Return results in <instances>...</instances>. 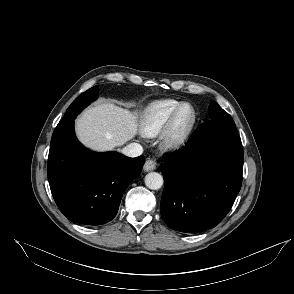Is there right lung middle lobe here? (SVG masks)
<instances>
[{
  "label": "right lung middle lobe",
  "mask_w": 294,
  "mask_h": 294,
  "mask_svg": "<svg viewBox=\"0 0 294 294\" xmlns=\"http://www.w3.org/2000/svg\"><path fill=\"white\" fill-rule=\"evenodd\" d=\"M91 103L89 99L88 92L82 93L79 97H77L74 102L68 107L64 117L61 119L60 122H65L69 119H74L83 108Z\"/></svg>",
  "instance_id": "obj_1"
}]
</instances>
